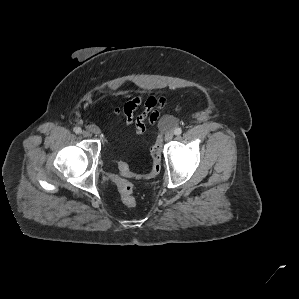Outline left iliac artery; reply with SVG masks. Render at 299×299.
<instances>
[{"mask_svg": "<svg viewBox=\"0 0 299 299\" xmlns=\"http://www.w3.org/2000/svg\"><path fill=\"white\" fill-rule=\"evenodd\" d=\"M175 135H180L182 133V129L180 127L175 128L174 130Z\"/></svg>", "mask_w": 299, "mask_h": 299, "instance_id": "obj_1", "label": "left iliac artery"}]
</instances>
